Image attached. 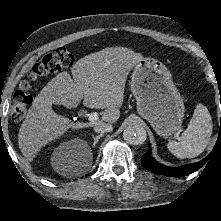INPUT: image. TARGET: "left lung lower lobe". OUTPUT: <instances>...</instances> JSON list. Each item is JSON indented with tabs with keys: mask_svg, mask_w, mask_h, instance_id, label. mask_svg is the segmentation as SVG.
Listing matches in <instances>:
<instances>
[{
	"mask_svg": "<svg viewBox=\"0 0 221 221\" xmlns=\"http://www.w3.org/2000/svg\"><path fill=\"white\" fill-rule=\"evenodd\" d=\"M207 160L208 157L197 163L188 164L180 167H168L158 163L151 156V147L149 145L148 151L141 158V163L145 169L154 173H159L165 176L182 177L200 169L207 162Z\"/></svg>",
	"mask_w": 221,
	"mask_h": 221,
	"instance_id": "1",
	"label": "left lung lower lobe"
}]
</instances>
